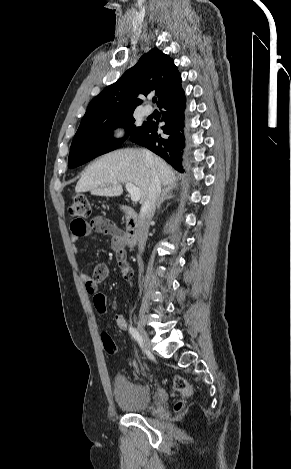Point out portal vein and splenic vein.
I'll return each instance as SVG.
<instances>
[{
	"instance_id": "portal-vein-and-splenic-vein-1",
	"label": "portal vein and splenic vein",
	"mask_w": 291,
	"mask_h": 469,
	"mask_svg": "<svg viewBox=\"0 0 291 469\" xmlns=\"http://www.w3.org/2000/svg\"><path fill=\"white\" fill-rule=\"evenodd\" d=\"M126 190L129 192L131 200L133 202H138L140 200V190L132 183H126Z\"/></svg>"
}]
</instances>
